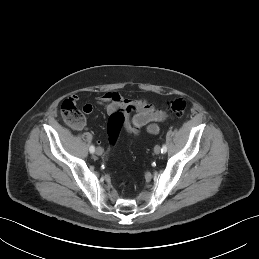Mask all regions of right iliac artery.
<instances>
[{
	"instance_id": "1",
	"label": "right iliac artery",
	"mask_w": 259,
	"mask_h": 259,
	"mask_svg": "<svg viewBox=\"0 0 259 259\" xmlns=\"http://www.w3.org/2000/svg\"><path fill=\"white\" fill-rule=\"evenodd\" d=\"M89 151H90L91 153H94V152H95V147H94L93 145H91L90 148H89Z\"/></svg>"
}]
</instances>
